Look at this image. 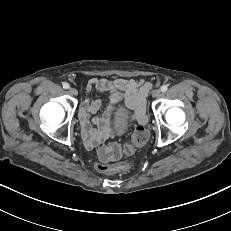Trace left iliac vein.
I'll list each match as a JSON object with an SVG mask.
<instances>
[{"mask_svg": "<svg viewBox=\"0 0 231 231\" xmlns=\"http://www.w3.org/2000/svg\"><path fill=\"white\" fill-rule=\"evenodd\" d=\"M160 95H161V91L159 89H155L152 91V96L154 98H158V97H160Z\"/></svg>", "mask_w": 231, "mask_h": 231, "instance_id": "1", "label": "left iliac vein"}]
</instances>
